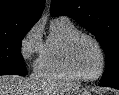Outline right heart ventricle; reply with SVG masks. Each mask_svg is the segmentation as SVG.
<instances>
[{"instance_id": "right-heart-ventricle-1", "label": "right heart ventricle", "mask_w": 119, "mask_h": 95, "mask_svg": "<svg viewBox=\"0 0 119 95\" xmlns=\"http://www.w3.org/2000/svg\"><path fill=\"white\" fill-rule=\"evenodd\" d=\"M78 32H80L79 29L65 17L51 21L49 34L42 44L36 62V72L39 75L76 80L66 67L64 52L68 40Z\"/></svg>"}]
</instances>
